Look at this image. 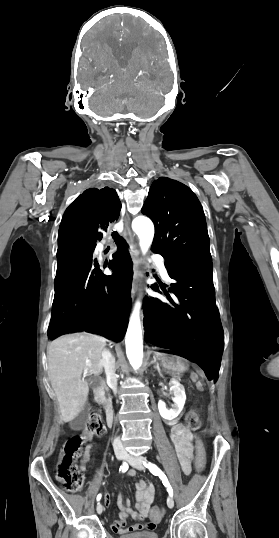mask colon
<instances>
[{"mask_svg":"<svg viewBox=\"0 0 279 538\" xmlns=\"http://www.w3.org/2000/svg\"><path fill=\"white\" fill-rule=\"evenodd\" d=\"M187 427L196 431L200 428L201 421L197 411L190 410L185 417ZM105 425L98 414H92L83 431L68 439L63 445L57 463V477L70 491L80 490L84 483V473L76 460L81 454L82 447L93 437L103 434ZM195 464L198 471H203L206 465V451L203 441L195 439ZM165 513L163 506H155L151 511V519L158 522Z\"/></svg>","mask_w":279,"mask_h":538,"instance_id":"1","label":"colon"}]
</instances>
